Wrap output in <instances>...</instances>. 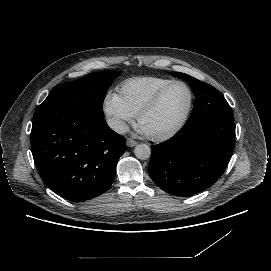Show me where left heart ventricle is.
Wrapping results in <instances>:
<instances>
[{"label":"left heart ventricle","mask_w":271,"mask_h":271,"mask_svg":"<svg viewBox=\"0 0 271 271\" xmlns=\"http://www.w3.org/2000/svg\"><path fill=\"white\" fill-rule=\"evenodd\" d=\"M191 100L189 88L176 84L165 94L159 106L140 123L148 135L173 129L184 117Z\"/></svg>","instance_id":"obj_1"}]
</instances>
